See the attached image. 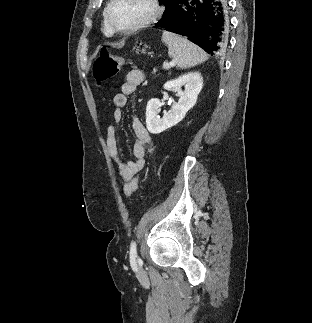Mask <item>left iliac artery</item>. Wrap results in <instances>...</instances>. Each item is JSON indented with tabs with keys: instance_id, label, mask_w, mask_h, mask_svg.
Here are the masks:
<instances>
[{
	"instance_id": "obj_1",
	"label": "left iliac artery",
	"mask_w": 312,
	"mask_h": 323,
	"mask_svg": "<svg viewBox=\"0 0 312 323\" xmlns=\"http://www.w3.org/2000/svg\"><path fill=\"white\" fill-rule=\"evenodd\" d=\"M137 257L136 242L133 241L130 245V263L132 267L136 266L135 258Z\"/></svg>"
}]
</instances>
